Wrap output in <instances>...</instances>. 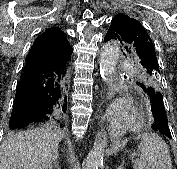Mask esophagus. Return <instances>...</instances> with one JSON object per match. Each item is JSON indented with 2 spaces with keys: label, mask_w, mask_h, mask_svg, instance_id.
Masks as SVG:
<instances>
[{
  "label": "esophagus",
  "mask_w": 177,
  "mask_h": 169,
  "mask_svg": "<svg viewBox=\"0 0 177 169\" xmlns=\"http://www.w3.org/2000/svg\"><path fill=\"white\" fill-rule=\"evenodd\" d=\"M101 88H102L101 90L103 91L104 87L102 86ZM101 95H103L102 100H106L105 107H104V113H106V114L104 116H102V120H105L107 118V108H108L110 97H108L109 92H101Z\"/></svg>",
  "instance_id": "1"
}]
</instances>
